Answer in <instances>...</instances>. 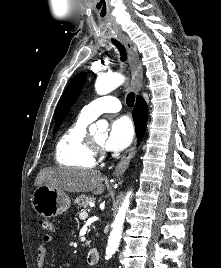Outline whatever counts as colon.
Returning a JSON list of instances; mask_svg holds the SVG:
<instances>
[{
	"label": "colon",
	"instance_id": "obj_1",
	"mask_svg": "<svg viewBox=\"0 0 221 268\" xmlns=\"http://www.w3.org/2000/svg\"><path fill=\"white\" fill-rule=\"evenodd\" d=\"M39 224L40 227L46 232H50L53 229V224L48 220L42 219L40 220Z\"/></svg>",
	"mask_w": 221,
	"mask_h": 268
}]
</instances>
